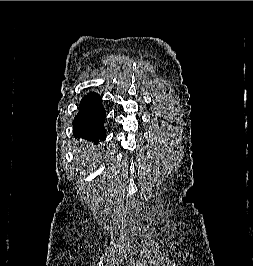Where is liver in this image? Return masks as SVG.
<instances>
[{"label":"liver","instance_id":"6515ba94","mask_svg":"<svg viewBox=\"0 0 253 266\" xmlns=\"http://www.w3.org/2000/svg\"><path fill=\"white\" fill-rule=\"evenodd\" d=\"M93 146H88L87 147H81L80 149H78L76 151V155H80V159L84 160V159H88L90 153L92 152Z\"/></svg>","mask_w":253,"mask_h":266}]
</instances>
